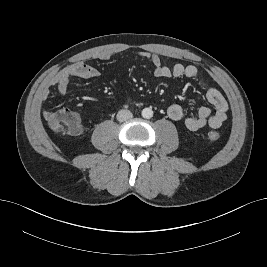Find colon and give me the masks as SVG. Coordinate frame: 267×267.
Returning <instances> with one entry per match:
<instances>
[{
	"mask_svg": "<svg viewBox=\"0 0 267 267\" xmlns=\"http://www.w3.org/2000/svg\"><path fill=\"white\" fill-rule=\"evenodd\" d=\"M48 123L54 131L63 135L74 134L81 127L79 115L68 108L53 112L48 119ZM208 138L211 141H217L220 138V134L217 131H210L208 132Z\"/></svg>",
	"mask_w": 267,
	"mask_h": 267,
	"instance_id": "5ec220e1",
	"label": "colon"
}]
</instances>
